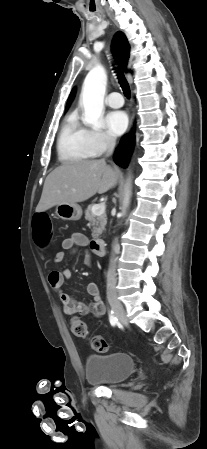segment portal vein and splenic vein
I'll return each mask as SVG.
<instances>
[{"label":"portal vein and splenic vein","instance_id":"18ae733b","mask_svg":"<svg viewBox=\"0 0 207 449\" xmlns=\"http://www.w3.org/2000/svg\"><path fill=\"white\" fill-rule=\"evenodd\" d=\"M105 209H106L105 203H100L92 207V212L95 215H102L105 213Z\"/></svg>","mask_w":207,"mask_h":449}]
</instances>
